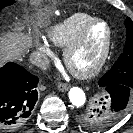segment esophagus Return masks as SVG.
<instances>
[{"label": "esophagus", "instance_id": "esophagus-1", "mask_svg": "<svg viewBox=\"0 0 133 133\" xmlns=\"http://www.w3.org/2000/svg\"><path fill=\"white\" fill-rule=\"evenodd\" d=\"M58 89L62 92L67 91L69 89V84L66 83H58L57 85Z\"/></svg>", "mask_w": 133, "mask_h": 133}]
</instances>
